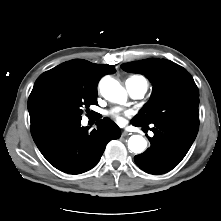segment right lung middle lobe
<instances>
[{
	"label": "right lung middle lobe",
	"instance_id": "1",
	"mask_svg": "<svg viewBox=\"0 0 221 221\" xmlns=\"http://www.w3.org/2000/svg\"><path fill=\"white\" fill-rule=\"evenodd\" d=\"M97 91L65 87L54 92L48 100L50 116L81 117L83 109L97 104Z\"/></svg>",
	"mask_w": 221,
	"mask_h": 221
}]
</instances>
